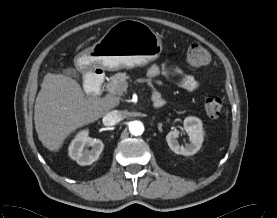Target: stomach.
Returning a JSON list of instances; mask_svg holds the SVG:
<instances>
[{"label": "stomach", "instance_id": "1", "mask_svg": "<svg viewBox=\"0 0 277 218\" xmlns=\"http://www.w3.org/2000/svg\"><path fill=\"white\" fill-rule=\"evenodd\" d=\"M161 52L158 34L141 21L126 19L114 24L97 43L79 53L75 63L86 71H116L145 65Z\"/></svg>", "mask_w": 277, "mask_h": 218}]
</instances>
